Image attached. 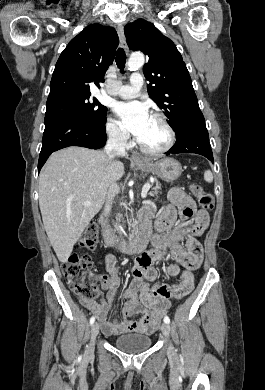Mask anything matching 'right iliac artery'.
I'll return each instance as SVG.
<instances>
[{
	"instance_id": "82829eb1",
	"label": "right iliac artery",
	"mask_w": 265,
	"mask_h": 390,
	"mask_svg": "<svg viewBox=\"0 0 265 390\" xmlns=\"http://www.w3.org/2000/svg\"><path fill=\"white\" fill-rule=\"evenodd\" d=\"M94 322H95V317L92 316V317L90 318V324L92 325Z\"/></svg>"
}]
</instances>
